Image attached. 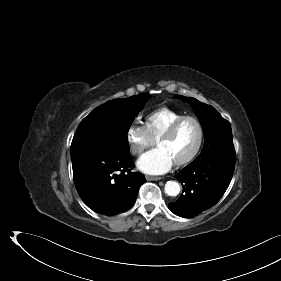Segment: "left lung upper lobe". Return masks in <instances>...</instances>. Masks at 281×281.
Returning <instances> with one entry per match:
<instances>
[{"mask_svg": "<svg viewBox=\"0 0 281 281\" xmlns=\"http://www.w3.org/2000/svg\"><path fill=\"white\" fill-rule=\"evenodd\" d=\"M175 97L187 101L198 113L205 135L204 147L199 157L223 153L235 155L230 123L215 108L205 105L195 98L181 95Z\"/></svg>", "mask_w": 281, "mask_h": 281, "instance_id": "obj_1", "label": "left lung upper lobe"}]
</instances>
